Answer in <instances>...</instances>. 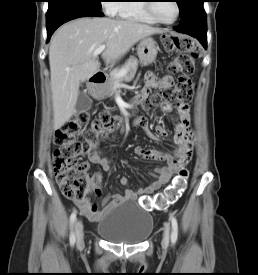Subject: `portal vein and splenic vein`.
Here are the masks:
<instances>
[{"mask_svg": "<svg viewBox=\"0 0 258 275\" xmlns=\"http://www.w3.org/2000/svg\"><path fill=\"white\" fill-rule=\"evenodd\" d=\"M106 48V45L103 44L99 46L95 51L93 52V57L96 58L99 54H101ZM127 73V69H122L118 74H116V77H122Z\"/></svg>", "mask_w": 258, "mask_h": 275, "instance_id": "obj_1", "label": "portal vein and splenic vein"}]
</instances>
